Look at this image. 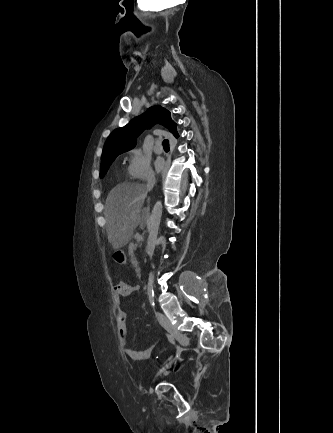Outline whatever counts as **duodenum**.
<instances>
[{"instance_id": "1", "label": "duodenum", "mask_w": 333, "mask_h": 433, "mask_svg": "<svg viewBox=\"0 0 333 433\" xmlns=\"http://www.w3.org/2000/svg\"><path fill=\"white\" fill-rule=\"evenodd\" d=\"M134 244H135V243H134L133 241L129 244V249H128V250H129L130 252L134 249ZM134 256H135V255H134L133 253H130V254H129V257L131 258V263H134V264H133V267H134V268H137V267H138V264L136 263V261H137L136 258H133ZM137 274H138L139 277L142 276V269H141V268H138V269H137Z\"/></svg>"}]
</instances>
